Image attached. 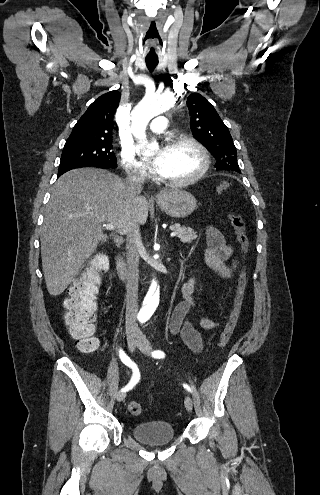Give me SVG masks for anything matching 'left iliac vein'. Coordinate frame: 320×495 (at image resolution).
I'll return each instance as SVG.
<instances>
[{
    "label": "left iliac vein",
    "instance_id": "4c4485c4",
    "mask_svg": "<svg viewBox=\"0 0 320 495\" xmlns=\"http://www.w3.org/2000/svg\"><path fill=\"white\" fill-rule=\"evenodd\" d=\"M137 347L139 350L146 354L149 355L152 351V347L149 343V341L146 339V337L142 333L137 334ZM185 407L188 411H192L193 409V401L190 396H186L184 400Z\"/></svg>",
    "mask_w": 320,
    "mask_h": 495
}]
</instances>
